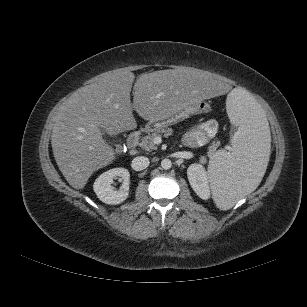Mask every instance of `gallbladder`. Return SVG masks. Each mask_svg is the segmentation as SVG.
Returning <instances> with one entry per match:
<instances>
[{
	"instance_id": "obj_1",
	"label": "gallbladder",
	"mask_w": 307,
	"mask_h": 307,
	"mask_svg": "<svg viewBox=\"0 0 307 307\" xmlns=\"http://www.w3.org/2000/svg\"><path fill=\"white\" fill-rule=\"evenodd\" d=\"M100 129H101L102 135L106 136V134H107L106 130L104 128H102V127Z\"/></svg>"
}]
</instances>
